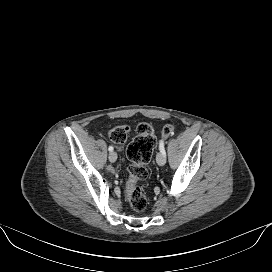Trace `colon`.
Returning <instances> with one entry per match:
<instances>
[{
  "label": "colon",
  "instance_id": "obj_1",
  "mask_svg": "<svg viewBox=\"0 0 272 272\" xmlns=\"http://www.w3.org/2000/svg\"><path fill=\"white\" fill-rule=\"evenodd\" d=\"M174 127L166 125L162 129V136L168 137L173 133ZM137 135L127 147V157L130 160L128 167V180L125 187L126 198L135 212H143L147 207V198L139 183L148 176L146 164L151 160L156 147V137L153 127L142 122L136 127ZM129 127L117 126L109 131V138L115 143H122L127 139Z\"/></svg>",
  "mask_w": 272,
  "mask_h": 272
}]
</instances>
